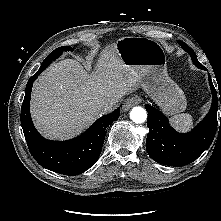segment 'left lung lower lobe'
I'll list each match as a JSON object with an SVG mask.
<instances>
[{
  "label": "left lung lower lobe",
  "instance_id": "1",
  "mask_svg": "<svg viewBox=\"0 0 221 221\" xmlns=\"http://www.w3.org/2000/svg\"><path fill=\"white\" fill-rule=\"evenodd\" d=\"M198 68L206 70L199 63ZM209 85L213 94L212 106L204 120L191 132L181 134L169 124L168 118L156 108L146 105L148 111L147 126L150 132L146 139V149L149 156L158 163L180 167L196 160L212 143L216 130L221 128L217 121L218 101L216 89L209 75Z\"/></svg>",
  "mask_w": 221,
  "mask_h": 221
}]
</instances>
